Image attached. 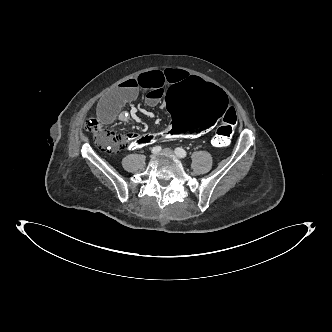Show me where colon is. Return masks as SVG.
I'll return each instance as SVG.
<instances>
[{
	"label": "colon",
	"mask_w": 332,
	"mask_h": 332,
	"mask_svg": "<svg viewBox=\"0 0 332 332\" xmlns=\"http://www.w3.org/2000/svg\"><path fill=\"white\" fill-rule=\"evenodd\" d=\"M163 110L171 126L155 134L128 131L119 139L95 118L87 120L85 127L101 149L117 153L122 147L134 150L139 146H154L165 138L187 139L188 136L202 135L220 123L212 143L224 147L230 143L237 123L227 91L215 82L200 78L187 79L172 87L164 97Z\"/></svg>",
	"instance_id": "1"
}]
</instances>
